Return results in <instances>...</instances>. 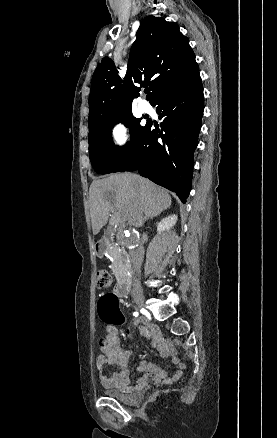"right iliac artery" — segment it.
<instances>
[{"instance_id":"right-iliac-artery-1","label":"right iliac artery","mask_w":277,"mask_h":438,"mask_svg":"<svg viewBox=\"0 0 277 438\" xmlns=\"http://www.w3.org/2000/svg\"><path fill=\"white\" fill-rule=\"evenodd\" d=\"M133 315H134L135 317H137V316H138V312H134Z\"/></svg>"}]
</instances>
